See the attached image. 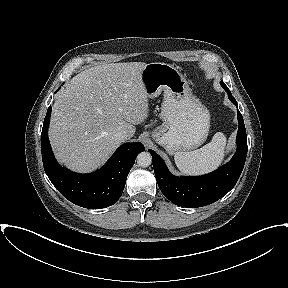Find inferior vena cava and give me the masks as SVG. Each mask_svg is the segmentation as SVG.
Segmentation results:
<instances>
[{
  "label": "inferior vena cava",
  "instance_id": "1",
  "mask_svg": "<svg viewBox=\"0 0 288 288\" xmlns=\"http://www.w3.org/2000/svg\"><path fill=\"white\" fill-rule=\"evenodd\" d=\"M115 137H116V139L119 140V141H124V140L126 139V135H125V133L122 132V131L117 132V133L115 134Z\"/></svg>",
  "mask_w": 288,
  "mask_h": 288
}]
</instances>
